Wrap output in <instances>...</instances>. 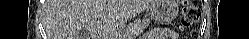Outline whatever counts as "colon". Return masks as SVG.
I'll use <instances>...</instances> for the list:
<instances>
[{"label":"colon","mask_w":249,"mask_h":39,"mask_svg":"<svg viewBox=\"0 0 249 39\" xmlns=\"http://www.w3.org/2000/svg\"><path fill=\"white\" fill-rule=\"evenodd\" d=\"M181 19L180 26L183 30L194 25L200 16L198 7L194 4L193 1L186 0L181 3Z\"/></svg>","instance_id":"obj_1"}]
</instances>
